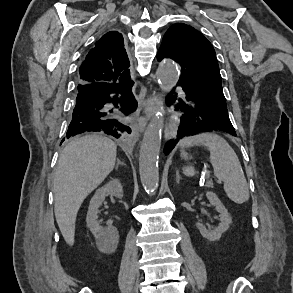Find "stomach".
<instances>
[{"label":"stomach","instance_id":"stomach-1","mask_svg":"<svg viewBox=\"0 0 293 293\" xmlns=\"http://www.w3.org/2000/svg\"><path fill=\"white\" fill-rule=\"evenodd\" d=\"M181 157L184 159H188V154L186 152H181Z\"/></svg>","mask_w":293,"mask_h":293}]
</instances>
